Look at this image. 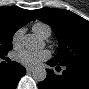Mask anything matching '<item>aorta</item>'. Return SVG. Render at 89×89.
I'll use <instances>...</instances> for the list:
<instances>
[{"mask_svg":"<svg viewBox=\"0 0 89 89\" xmlns=\"http://www.w3.org/2000/svg\"><path fill=\"white\" fill-rule=\"evenodd\" d=\"M23 44L26 49L36 51L44 48V42L35 36L34 34H27L24 37ZM47 76V72L44 67H38L32 72V78L35 81H44Z\"/></svg>","mask_w":89,"mask_h":89,"instance_id":"aorta-1","label":"aorta"}]
</instances>
